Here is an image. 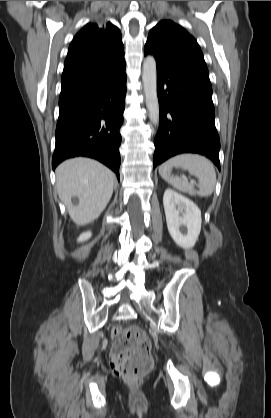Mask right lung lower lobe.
Listing matches in <instances>:
<instances>
[{"label":"right lung lower lobe","instance_id":"98d812e1","mask_svg":"<svg viewBox=\"0 0 271 418\" xmlns=\"http://www.w3.org/2000/svg\"><path fill=\"white\" fill-rule=\"evenodd\" d=\"M125 67L93 89L59 103L53 169L67 158L86 156L104 163L119 179Z\"/></svg>","mask_w":271,"mask_h":418}]
</instances>
